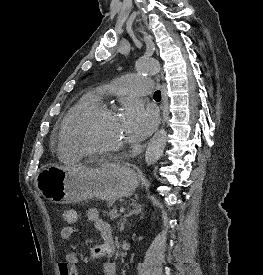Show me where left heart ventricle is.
Masks as SVG:
<instances>
[{"mask_svg":"<svg viewBox=\"0 0 263 275\" xmlns=\"http://www.w3.org/2000/svg\"><path fill=\"white\" fill-rule=\"evenodd\" d=\"M75 138L90 149H107L129 144L130 140L117 115H100L85 122Z\"/></svg>","mask_w":263,"mask_h":275,"instance_id":"b2bd125f","label":"left heart ventricle"}]
</instances>
